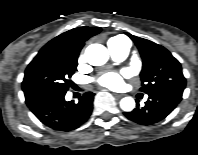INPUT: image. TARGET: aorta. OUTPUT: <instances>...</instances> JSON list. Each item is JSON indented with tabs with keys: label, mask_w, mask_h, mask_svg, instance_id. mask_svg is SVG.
Returning <instances> with one entry per match:
<instances>
[{
	"label": "aorta",
	"mask_w": 198,
	"mask_h": 155,
	"mask_svg": "<svg viewBox=\"0 0 198 155\" xmlns=\"http://www.w3.org/2000/svg\"><path fill=\"white\" fill-rule=\"evenodd\" d=\"M86 60L90 65L101 66L109 59L107 48L101 44H91L85 50ZM123 111L130 112L135 108V101L132 97H124L120 101Z\"/></svg>",
	"instance_id": "aorta-1"
}]
</instances>
